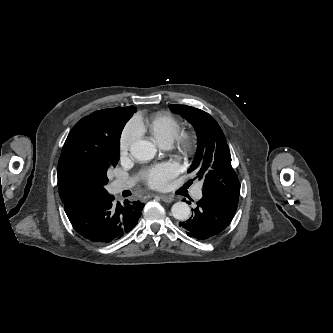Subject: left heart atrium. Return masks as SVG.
<instances>
[{
    "instance_id": "obj_1",
    "label": "left heart atrium",
    "mask_w": 333,
    "mask_h": 333,
    "mask_svg": "<svg viewBox=\"0 0 333 333\" xmlns=\"http://www.w3.org/2000/svg\"><path fill=\"white\" fill-rule=\"evenodd\" d=\"M177 173L178 167L171 162H166L144 171L143 177L150 187L161 189L166 187L169 180L175 177Z\"/></svg>"
}]
</instances>
